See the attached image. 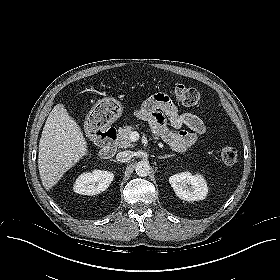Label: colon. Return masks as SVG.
Returning <instances> with one entry per match:
<instances>
[{
    "mask_svg": "<svg viewBox=\"0 0 280 280\" xmlns=\"http://www.w3.org/2000/svg\"><path fill=\"white\" fill-rule=\"evenodd\" d=\"M174 95L187 106H196L201 100L200 92L195 87L187 85H177L174 88ZM237 156V150L232 146L223 147L220 153L221 160L226 165L234 164Z\"/></svg>",
    "mask_w": 280,
    "mask_h": 280,
    "instance_id": "obj_1",
    "label": "colon"
}]
</instances>
